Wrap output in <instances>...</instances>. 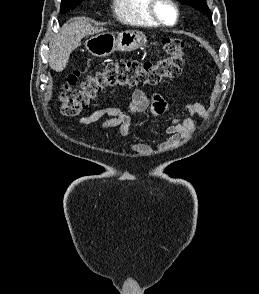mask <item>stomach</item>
Segmentation results:
<instances>
[{
    "instance_id": "1",
    "label": "stomach",
    "mask_w": 259,
    "mask_h": 294,
    "mask_svg": "<svg viewBox=\"0 0 259 294\" xmlns=\"http://www.w3.org/2000/svg\"><path fill=\"white\" fill-rule=\"evenodd\" d=\"M147 43L144 33L139 31H124L117 37L108 31H102L91 36L85 43L89 53L96 57H106L114 51L130 52Z\"/></svg>"
}]
</instances>
